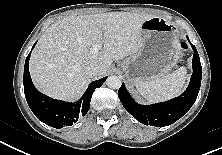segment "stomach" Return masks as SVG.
Listing matches in <instances>:
<instances>
[{
  "label": "stomach",
  "instance_id": "0dacf381",
  "mask_svg": "<svg viewBox=\"0 0 222 155\" xmlns=\"http://www.w3.org/2000/svg\"><path fill=\"white\" fill-rule=\"evenodd\" d=\"M141 29L142 48L121 62L127 80L134 85L169 73L181 51L178 30L170 21L153 16L142 23Z\"/></svg>",
  "mask_w": 222,
  "mask_h": 155
}]
</instances>
